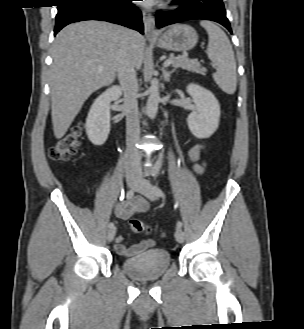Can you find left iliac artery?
Returning <instances> with one entry per match:
<instances>
[{
  "mask_svg": "<svg viewBox=\"0 0 304 329\" xmlns=\"http://www.w3.org/2000/svg\"><path fill=\"white\" fill-rule=\"evenodd\" d=\"M154 192L158 197H164V192L157 185L154 186ZM177 227H182L181 221L177 222Z\"/></svg>",
  "mask_w": 304,
  "mask_h": 329,
  "instance_id": "left-iliac-artery-1",
  "label": "left iliac artery"
}]
</instances>
